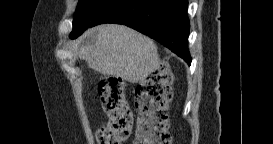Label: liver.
I'll return each mask as SVG.
<instances>
[{"label":"liver","mask_w":273,"mask_h":144,"mask_svg":"<svg viewBox=\"0 0 273 144\" xmlns=\"http://www.w3.org/2000/svg\"><path fill=\"white\" fill-rule=\"evenodd\" d=\"M93 33L95 42L80 49V57L91 69L130 83H143L158 68L160 58L150 38L116 24L99 26L87 34Z\"/></svg>","instance_id":"obj_1"}]
</instances>
